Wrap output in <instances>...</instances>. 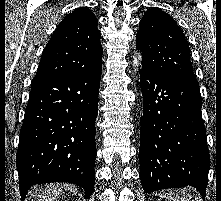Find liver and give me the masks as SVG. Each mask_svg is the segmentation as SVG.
I'll use <instances>...</instances> for the list:
<instances>
[{
	"label": "liver",
	"mask_w": 221,
	"mask_h": 201,
	"mask_svg": "<svg viewBox=\"0 0 221 201\" xmlns=\"http://www.w3.org/2000/svg\"><path fill=\"white\" fill-rule=\"evenodd\" d=\"M66 188L67 185L64 184H50L39 193V201H55L63 194V190Z\"/></svg>",
	"instance_id": "liver-1"
}]
</instances>
